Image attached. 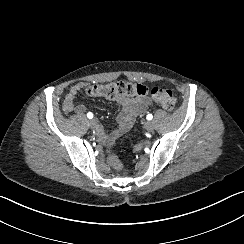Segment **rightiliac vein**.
Masks as SVG:
<instances>
[{
  "label": "right iliac vein",
  "mask_w": 244,
  "mask_h": 244,
  "mask_svg": "<svg viewBox=\"0 0 244 244\" xmlns=\"http://www.w3.org/2000/svg\"><path fill=\"white\" fill-rule=\"evenodd\" d=\"M89 125L91 126V127H96L97 125H98V121H97V119H95V118H93V119H91L90 121H89Z\"/></svg>",
  "instance_id": "obj_1"
}]
</instances>
